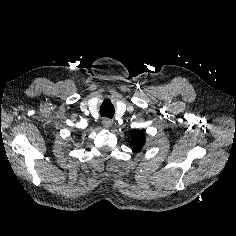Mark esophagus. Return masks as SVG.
Returning <instances> with one entry per match:
<instances>
[{"label": "esophagus", "instance_id": "obj_1", "mask_svg": "<svg viewBox=\"0 0 236 236\" xmlns=\"http://www.w3.org/2000/svg\"><path fill=\"white\" fill-rule=\"evenodd\" d=\"M102 124L104 128L109 129L112 126V121L108 118H104Z\"/></svg>", "mask_w": 236, "mask_h": 236}]
</instances>
